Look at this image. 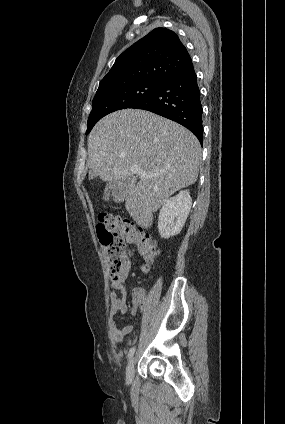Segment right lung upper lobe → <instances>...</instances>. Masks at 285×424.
I'll return each instance as SVG.
<instances>
[{"label":"right lung upper lobe","mask_w":285,"mask_h":424,"mask_svg":"<svg viewBox=\"0 0 285 424\" xmlns=\"http://www.w3.org/2000/svg\"><path fill=\"white\" fill-rule=\"evenodd\" d=\"M190 64L191 57L177 34L156 28L116 59L97 91L139 81L164 82Z\"/></svg>","instance_id":"right-lung-upper-lobe-1"}]
</instances>
